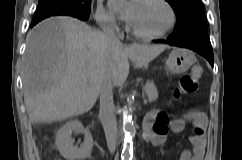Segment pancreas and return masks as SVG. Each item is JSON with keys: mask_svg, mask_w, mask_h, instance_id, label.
<instances>
[{"mask_svg": "<svg viewBox=\"0 0 242 160\" xmlns=\"http://www.w3.org/2000/svg\"><path fill=\"white\" fill-rule=\"evenodd\" d=\"M144 92L147 95L149 102L157 100L158 91L153 81H147L144 85Z\"/></svg>", "mask_w": 242, "mask_h": 160, "instance_id": "1", "label": "pancreas"}]
</instances>
